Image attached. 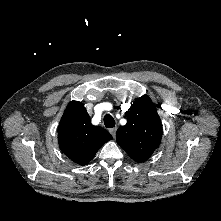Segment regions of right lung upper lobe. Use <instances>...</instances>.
I'll return each instance as SVG.
<instances>
[{"label": "right lung upper lobe", "mask_w": 221, "mask_h": 221, "mask_svg": "<svg viewBox=\"0 0 221 221\" xmlns=\"http://www.w3.org/2000/svg\"><path fill=\"white\" fill-rule=\"evenodd\" d=\"M112 136L105 129L93 126L81 102L71 101L67 106L58 127L60 149L73 162L88 164L96 152Z\"/></svg>", "instance_id": "right-lung-upper-lobe-1"}]
</instances>
